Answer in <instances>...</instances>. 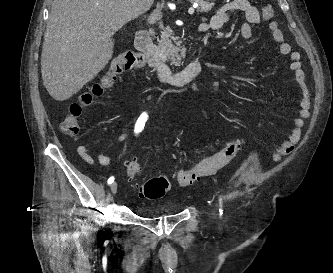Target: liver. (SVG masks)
I'll use <instances>...</instances> for the list:
<instances>
[{"label": "liver", "instance_id": "liver-1", "mask_svg": "<svg viewBox=\"0 0 333 273\" xmlns=\"http://www.w3.org/2000/svg\"><path fill=\"white\" fill-rule=\"evenodd\" d=\"M132 0H54L41 54L43 84L64 101L94 79L113 55V35L139 16ZM141 14L154 0H142Z\"/></svg>", "mask_w": 333, "mask_h": 273}]
</instances>
